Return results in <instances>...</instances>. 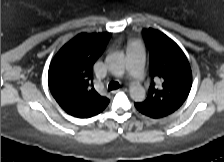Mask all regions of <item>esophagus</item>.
<instances>
[{
    "label": "esophagus",
    "mask_w": 224,
    "mask_h": 162,
    "mask_svg": "<svg viewBox=\"0 0 224 162\" xmlns=\"http://www.w3.org/2000/svg\"><path fill=\"white\" fill-rule=\"evenodd\" d=\"M122 90L127 91V88H123ZM118 90H114L113 93H116Z\"/></svg>",
    "instance_id": "1"
}]
</instances>
